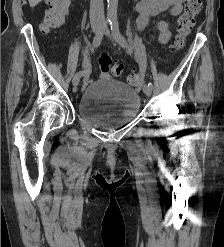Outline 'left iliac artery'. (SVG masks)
Returning <instances> with one entry per match:
<instances>
[{"label": "left iliac artery", "mask_w": 224, "mask_h": 247, "mask_svg": "<svg viewBox=\"0 0 224 247\" xmlns=\"http://www.w3.org/2000/svg\"><path fill=\"white\" fill-rule=\"evenodd\" d=\"M110 26H111V31L114 34V37L116 39V41L123 47L128 49L129 51H131L126 39L124 38V36L120 33L119 30V23L117 18H113L110 20ZM148 86H150L151 88H153V84L151 82L148 83Z\"/></svg>", "instance_id": "left-iliac-artery-1"}]
</instances>
